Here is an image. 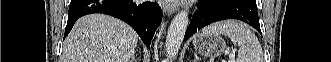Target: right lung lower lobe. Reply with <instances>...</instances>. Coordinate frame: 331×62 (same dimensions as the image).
<instances>
[{"label":"right lung lower lobe","instance_id":"98d812e1","mask_svg":"<svg viewBox=\"0 0 331 62\" xmlns=\"http://www.w3.org/2000/svg\"><path fill=\"white\" fill-rule=\"evenodd\" d=\"M92 13H104L128 23L148 48L162 20L161 8L157 3H136L133 0H71L64 37L77 19Z\"/></svg>","mask_w":331,"mask_h":62}]
</instances>
